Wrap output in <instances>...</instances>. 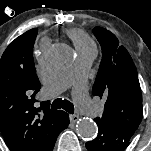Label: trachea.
<instances>
[{"instance_id":"3493384b","label":"trachea","mask_w":151,"mask_h":151,"mask_svg":"<svg viewBox=\"0 0 151 151\" xmlns=\"http://www.w3.org/2000/svg\"><path fill=\"white\" fill-rule=\"evenodd\" d=\"M51 108L52 109H60V108H62L65 111H67L68 113H70V114L74 113L73 104L70 101L66 100V99H64V100H62L61 98L55 99L53 101L52 105H51Z\"/></svg>"}]
</instances>
